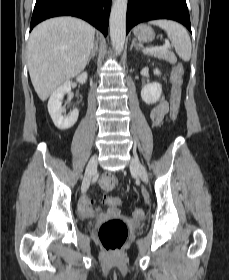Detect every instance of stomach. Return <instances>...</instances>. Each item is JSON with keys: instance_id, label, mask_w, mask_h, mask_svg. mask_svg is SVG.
I'll use <instances>...</instances> for the list:
<instances>
[{"instance_id": "obj_1", "label": "stomach", "mask_w": 229, "mask_h": 280, "mask_svg": "<svg viewBox=\"0 0 229 280\" xmlns=\"http://www.w3.org/2000/svg\"><path fill=\"white\" fill-rule=\"evenodd\" d=\"M133 32L135 37L141 42H151L155 38L154 30L145 24L137 25Z\"/></svg>"}]
</instances>
